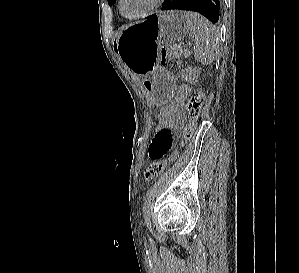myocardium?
I'll return each mask as SVG.
<instances>
[{"instance_id":"obj_1","label":"myocardium","mask_w":299,"mask_h":273,"mask_svg":"<svg viewBox=\"0 0 299 273\" xmlns=\"http://www.w3.org/2000/svg\"><path fill=\"white\" fill-rule=\"evenodd\" d=\"M164 0H154L153 3L142 13L135 15V16H128L126 14H124L123 9H122V4H123V0H119L118 1V9L119 12L122 16H124L127 19L130 20H137V19H141L144 17L149 16L150 14H152L155 10H157L161 4L163 3Z\"/></svg>"}]
</instances>
